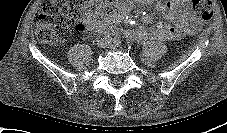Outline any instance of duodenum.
<instances>
[{"label":"duodenum","instance_id":"obj_1","mask_svg":"<svg viewBox=\"0 0 227 133\" xmlns=\"http://www.w3.org/2000/svg\"><path fill=\"white\" fill-rule=\"evenodd\" d=\"M104 30L107 31V32H113L115 29L113 26L111 25H107L104 27Z\"/></svg>","mask_w":227,"mask_h":133}]
</instances>
